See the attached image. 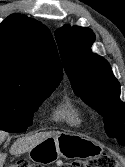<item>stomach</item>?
I'll return each instance as SVG.
<instances>
[{"label":"stomach","instance_id":"1","mask_svg":"<svg viewBox=\"0 0 125 167\" xmlns=\"http://www.w3.org/2000/svg\"><path fill=\"white\" fill-rule=\"evenodd\" d=\"M102 153V147L80 133L63 132L37 144L29 152L36 163H53L59 158H86Z\"/></svg>","mask_w":125,"mask_h":167}]
</instances>
